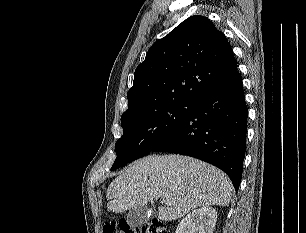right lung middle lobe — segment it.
<instances>
[{
    "mask_svg": "<svg viewBox=\"0 0 306 233\" xmlns=\"http://www.w3.org/2000/svg\"><path fill=\"white\" fill-rule=\"evenodd\" d=\"M198 104L186 99H163L121 116L123 136L116 142L115 170L163 143Z\"/></svg>",
    "mask_w": 306,
    "mask_h": 233,
    "instance_id": "1",
    "label": "right lung middle lobe"
}]
</instances>
